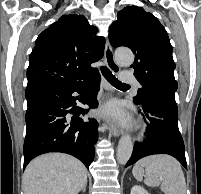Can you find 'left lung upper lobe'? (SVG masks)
Masks as SVG:
<instances>
[{"label":"left lung upper lobe","mask_w":201,"mask_h":194,"mask_svg":"<svg viewBox=\"0 0 201 194\" xmlns=\"http://www.w3.org/2000/svg\"><path fill=\"white\" fill-rule=\"evenodd\" d=\"M113 47L126 46L135 54L134 75L142 85L134 101L138 105L151 95L165 94L175 98L177 81L175 63L167 32L151 13L137 6H127L117 14L109 28Z\"/></svg>","instance_id":"left-lung-upper-lobe-1"}]
</instances>
